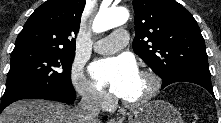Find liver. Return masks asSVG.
Listing matches in <instances>:
<instances>
[{
	"instance_id": "obj_1",
	"label": "liver",
	"mask_w": 221,
	"mask_h": 123,
	"mask_svg": "<svg viewBox=\"0 0 221 123\" xmlns=\"http://www.w3.org/2000/svg\"><path fill=\"white\" fill-rule=\"evenodd\" d=\"M0 123H78L76 108L44 100H21L8 106Z\"/></svg>"
}]
</instances>
